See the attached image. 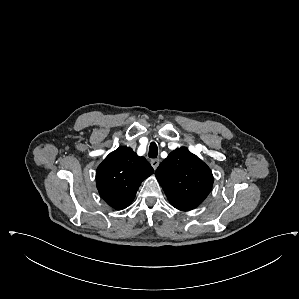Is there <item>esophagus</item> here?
<instances>
[{
	"label": "esophagus",
	"instance_id": "1",
	"mask_svg": "<svg viewBox=\"0 0 299 299\" xmlns=\"http://www.w3.org/2000/svg\"><path fill=\"white\" fill-rule=\"evenodd\" d=\"M150 163H151V166L153 167V169L156 170L157 167H158L159 164H160V160H159V159H152V160L150 161Z\"/></svg>",
	"mask_w": 299,
	"mask_h": 299
}]
</instances>
